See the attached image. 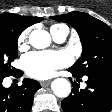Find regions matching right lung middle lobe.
Segmentation results:
<instances>
[{
    "mask_svg": "<svg viewBox=\"0 0 112 112\" xmlns=\"http://www.w3.org/2000/svg\"><path fill=\"white\" fill-rule=\"evenodd\" d=\"M24 29L23 24L18 21H13L7 29H0V78L15 70L11 68V62L17 57V40Z\"/></svg>",
    "mask_w": 112,
    "mask_h": 112,
    "instance_id": "right-lung-middle-lobe-1",
    "label": "right lung middle lobe"
}]
</instances>
